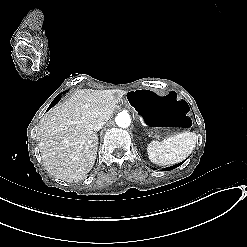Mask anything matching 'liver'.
Wrapping results in <instances>:
<instances>
[{
	"mask_svg": "<svg viewBox=\"0 0 247 247\" xmlns=\"http://www.w3.org/2000/svg\"><path fill=\"white\" fill-rule=\"evenodd\" d=\"M119 107L108 91L80 90L40 120L37 142L43 165L54 178L84 180L98 152V122H108Z\"/></svg>",
	"mask_w": 247,
	"mask_h": 247,
	"instance_id": "obj_1",
	"label": "liver"
}]
</instances>
